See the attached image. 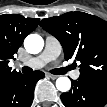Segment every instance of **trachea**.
<instances>
[{
  "label": "trachea",
  "instance_id": "obj_1",
  "mask_svg": "<svg viewBox=\"0 0 107 107\" xmlns=\"http://www.w3.org/2000/svg\"><path fill=\"white\" fill-rule=\"evenodd\" d=\"M67 70H69V68H56V69L50 70V73H52L54 75H62L64 73H66ZM31 71H32V69L30 67H23L22 68L23 73H29Z\"/></svg>",
  "mask_w": 107,
  "mask_h": 107
}]
</instances>
